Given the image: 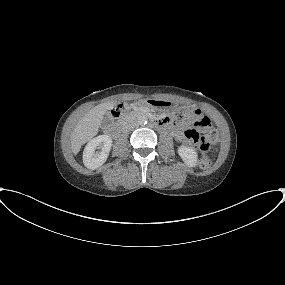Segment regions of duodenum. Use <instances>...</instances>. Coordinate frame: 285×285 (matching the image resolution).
I'll return each mask as SVG.
<instances>
[{
	"mask_svg": "<svg viewBox=\"0 0 285 285\" xmlns=\"http://www.w3.org/2000/svg\"><path fill=\"white\" fill-rule=\"evenodd\" d=\"M155 123L164 129H170L171 128V123L165 118H156ZM122 131V126L116 122H112L111 125L109 126V132L114 134V135H119Z\"/></svg>",
	"mask_w": 285,
	"mask_h": 285,
	"instance_id": "duodenum-1",
	"label": "duodenum"
}]
</instances>
